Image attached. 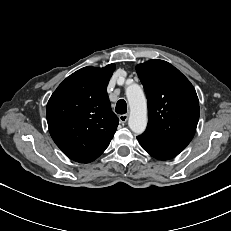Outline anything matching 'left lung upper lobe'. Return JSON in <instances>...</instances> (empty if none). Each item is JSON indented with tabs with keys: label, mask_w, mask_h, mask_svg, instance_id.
Wrapping results in <instances>:
<instances>
[{
	"label": "left lung upper lobe",
	"mask_w": 231,
	"mask_h": 231,
	"mask_svg": "<svg viewBox=\"0 0 231 231\" xmlns=\"http://www.w3.org/2000/svg\"><path fill=\"white\" fill-rule=\"evenodd\" d=\"M148 100L144 136L182 151L192 140L199 120L198 97L193 85L174 66L149 60L136 66Z\"/></svg>",
	"instance_id": "left-lung-upper-lobe-1"
}]
</instances>
